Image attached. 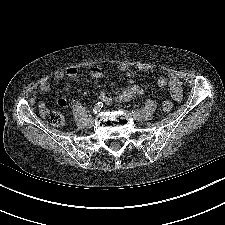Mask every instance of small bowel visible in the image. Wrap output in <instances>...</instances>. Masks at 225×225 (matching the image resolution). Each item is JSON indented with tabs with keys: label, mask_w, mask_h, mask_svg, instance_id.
<instances>
[{
	"label": "small bowel",
	"mask_w": 225,
	"mask_h": 225,
	"mask_svg": "<svg viewBox=\"0 0 225 225\" xmlns=\"http://www.w3.org/2000/svg\"><path fill=\"white\" fill-rule=\"evenodd\" d=\"M120 71L123 72L126 77L133 78L134 72L128 65L120 66ZM79 70L76 67H69L66 70H58L53 74V79L55 81H60L65 77L74 79L78 76ZM89 75L91 78L98 79L102 75V71L100 67L93 66L89 70ZM157 85L160 88L169 87L172 97L176 101H180L182 99V88L180 80L172 75L168 79L165 77H159L157 79ZM40 91L46 93L51 89V85L48 80H42L39 84ZM142 93V88L138 84H132L126 88L121 89L115 96L116 101L118 102H127L140 95ZM99 100L105 105H110L112 103V98L105 92H101L98 95ZM67 100L65 98H60L58 100V105L61 107L66 106ZM40 110L44 112L46 110V105L44 102L39 104Z\"/></svg>",
	"instance_id": "small-bowel-1"
}]
</instances>
